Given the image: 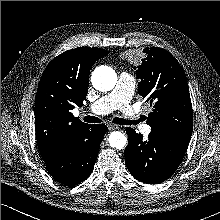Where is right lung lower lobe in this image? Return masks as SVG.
<instances>
[{
    "mask_svg": "<svg viewBox=\"0 0 220 220\" xmlns=\"http://www.w3.org/2000/svg\"><path fill=\"white\" fill-rule=\"evenodd\" d=\"M107 131L104 124L89 125L45 161L50 175L65 186L84 181L91 174L100 143Z\"/></svg>",
    "mask_w": 220,
    "mask_h": 220,
    "instance_id": "1",
    "label": "right lung lower lobe"
}]
</instances>
